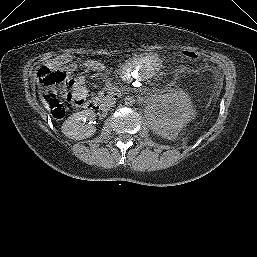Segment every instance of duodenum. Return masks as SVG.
<instances>
[{
    "instance_id": "obj_1",
    "label": "duodenum",
    "mask_w": 257,
    "mask_h": 257,
    "mask_svg": "<svg viewBox=\"0 0 257 257\" xmlns=\"http://www.w3.org/2000/svg\"><path fill=\"white\" fill-rule=\"evenodd\" d=\"M120 96L121 94L119 91H112L101 101H97V100L88 101L85 105V108L88 112L98 111L103 106L106 107L114 104L116 101L119 100Z\"/></svg>"
}]
</instances>
